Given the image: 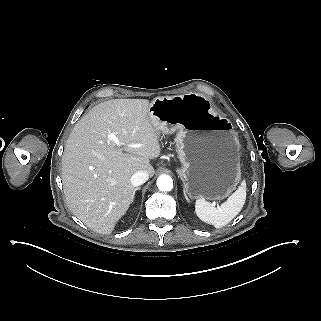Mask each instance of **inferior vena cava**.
I'll list each match as a JSON object with an SVG mask.
<instances>
[{
    "mask_svg": "<svg viewBox=\"0 0 321 321\" xmlns=\"http://www.w3.org/2000/svg\"><path fill=\"white\" fill-rule=\"evenodd\" d=\"M148 173L145 171H137L131 176V183L133 186H140L148 180Z\"/></svg>",
    "mask_w": 321,
    "mask_h": 321,
    "instance_id": "1",
    "label": "inferior vena cava"
}]
</instances>
